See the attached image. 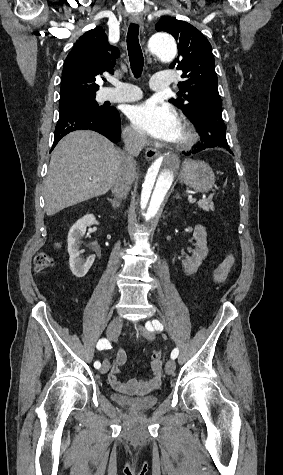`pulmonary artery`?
<instances>
[{
  "label": "pulmonary artery",
  "instance_id": "e3ab8cb5",
  "mask_svg": "<svg viewBox=\"0 0 283 475\" xmlns=\"http://www.w3.org/2000/svg\"><path fill=\"white\" fill-rule=\"evenodd\" d=\"M111 85L114 87H104L102 89V94L104 96H117L110 99L111 102H133L136 101L142 94V89L140 87H135V85L130 83L122 82V84ZM167 87L168 82L166 80L151 81L152 89H166Z\"/></svg>",
  "mask_w": 283,
  "mask_h": 475
}]
</instances>
